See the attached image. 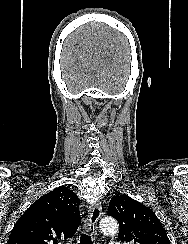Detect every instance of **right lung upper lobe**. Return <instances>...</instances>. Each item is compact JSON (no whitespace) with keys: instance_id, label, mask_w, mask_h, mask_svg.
Returning a JSON list of instances; mask_svg holds the SVG:
<instances>
[{"instance_id":"cb5924a9","label":"right lung upper lobe","mask_w":188,"mask_h":244,"mask_svg":"<svg viewBox=\"0 0 188 244\" xmlns=\"http://www.w3.org/2000/svg\"><path fill=\"white\" fill-rule=\"evenodd\" d=\"M77 195L60 186L36 200L18 219L7 244H58L81 224Z\"/></svg>"}]
</instances>
